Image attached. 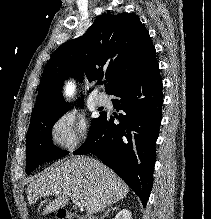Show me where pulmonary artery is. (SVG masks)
<instances>
[{"label": "pulmonary artery", "mask_w": 211, "mask_h": 219, "mask_svg": "<svg viewBox=\"0 0 211 219\" xmlns=\"http://www.w3.org/2000/svg\"><path fill=\"white\" fill-rule=\"evenodd\" d=\"M95 102L97 105L102 106V105H108L110 100H109V97L105 93H99L95 97Z\"/></svg>", "instance_id": "1"}]
</instances>
